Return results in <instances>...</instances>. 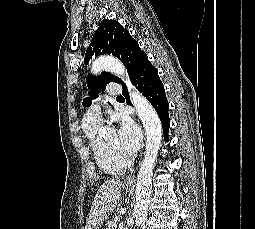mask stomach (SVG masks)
<instances>
[{"instance_id":"1","label":"stomach","mask_w":255,"mask_h":229,"mask_svg":"<svg viewBox=\"0 0 255 229\" xmlns=\"http://www.w3.org/2000/svg\"><path fill=\"white\" fill-rule=\"evenodd\" d=\"M126 189H129V187H126ZM93 229H100L99 226L93 228Z\"/></svg>"}]
</instances>
